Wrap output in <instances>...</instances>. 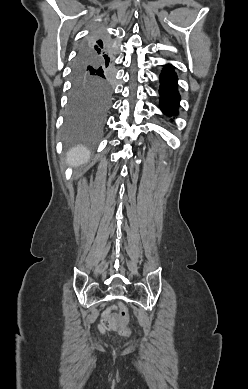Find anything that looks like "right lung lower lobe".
<instances>
[{
	"mask_svg": "<svg viewBox=\"0 0 248 389\" xmlns=\"http://www.w3.org/2000/svg\"><path fill=\"white\" fill-rule=\"evenodd\" d=\"M104 38H101V36L99 35H96V36H93V39L89 42V44H86L84 45L82 48H81V51L86 54L87 56H92L93 52L91 51V48L92 45H98L100 41H103ZM103 45V43H102ZM107 47L104 46V49H106Z\"/></svg>",
	"mask_w": 248,
	"mask_h": 389,
	"instance_id": "obj_1",
	"label": "right lung lower lobe"
}]
</instances>
